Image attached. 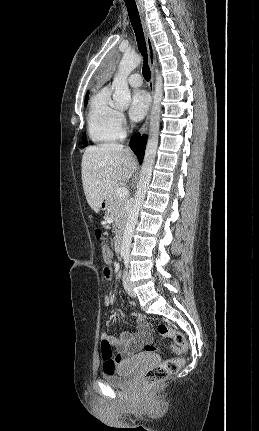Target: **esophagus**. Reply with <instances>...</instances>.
Instances as JSON below:
<instances>
[{"mask_svg":"<svg viewBox=\"0 0 259 431\" xmlns=\"http://www.w3.org/2000/svg\"><path fill=\"white\" fill-rule=\"evenodd\" d=\"M139 13H140V18H141V22H142V28H143V32H144V37H145V42H146V47H147V52H148V58H149V63H150V70H151V79L149 82V90L151 93V103H150V107H149V112L148 115L140 129V134L143 135L147 132L148 130V126H149V122H150V114H151V109H152V104H153V94H154V70L156 67V52L154 49V44L152 41V38L150 36L149 33V28H148V24L144 15V11L143 8L141 6H139Z\"/></svg>","mask_w":259,"mask_h":431,"instance_id":"1","label":"esophagus"}]
</instances>
